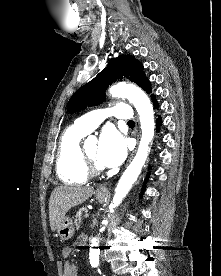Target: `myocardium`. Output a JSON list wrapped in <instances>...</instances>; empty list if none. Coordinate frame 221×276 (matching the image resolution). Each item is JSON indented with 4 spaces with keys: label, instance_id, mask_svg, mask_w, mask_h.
<instances>
[{
    "label": "myocardium",
    "instance_id": "1",
    "mask_svg": "<svg viewBox=\"0 0 221 276\" xmlns=\"http://www.w3.org/2000/svg\"><path fill=\"white\" fill-rule=\"evenodd\" d=\"M82 155L89 175H99L103 171V167L91 158L85 149H82Z\"/></svg>",
    "mask_w": 221,
    "mask_h": 276
}]
</instances>
